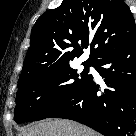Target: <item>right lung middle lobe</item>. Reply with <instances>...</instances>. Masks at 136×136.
<instances>
[{
	"instance_id": "right-lung-middle-lobe-1",
	"label": "right lung middle lobe",
	"mask_w": 136,
	"mask_h": 136,
	"mask_svg": "<svg viewBox=\"0 0 136 136\" xmlns=\"http://www.w3.org/2000/svg\"><path fill=\"white\" fill-rule=\"evenodd\" d=\"M78 73L70 64L31 73L19 80L14 119L17 123L47 118L72 98L92 78L88 74L92 63H83Z\"/></svg>"
}]
</instances>
